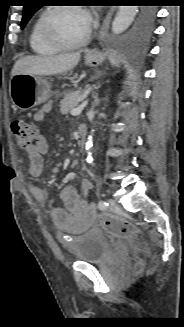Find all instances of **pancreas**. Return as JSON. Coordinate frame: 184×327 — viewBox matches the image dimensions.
<instances>
[{
	"label": "pancreas",
	"mask_w": 184,
	"mask_h": 327,
	"mask_svg": "<svg viewBox=\"0 0 184 327\" xmlns=\"http://www.w3.org/2000/svg\"><path fill=\"white\" fill-rule=\"evenodd\" d=\"M82 96L80 91L66 93L64 98L60 101V112L63 115L71 113L78 104V99Z\"/></svg>",
	"instance_id": "cf45deb5"
}]
</instances>
